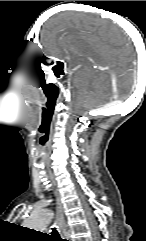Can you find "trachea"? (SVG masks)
<instances>
[{
    "instance_id": "trachea-1",
    "label": "trachea",
    "mask_w": 146,
    "mask_h": 241,
    "mask_svg": "<svg viewBox=\"0 0 146 241\" xmlns=\"http://www.w3.org/2000/svg\"><path fill=\"white\" fill-rule=\"evenodd\" d=\"M51 237L53 241H66L65 239L60 238L56 228H52Z\"/></svg>"
}]
</instances>
